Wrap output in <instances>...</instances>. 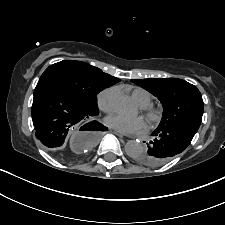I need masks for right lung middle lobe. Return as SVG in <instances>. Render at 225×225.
Returning <instances> with one entry per match:
<instances>
[{"mask_svg": "<svg viewBox=\"0 0 225 225\" xmlns=\"http://www.w3.org/2000/svg\"><path fill=\"white\" fill-rule=\"evenodd\" d=\"M39 81H49L58 85L86 109L95 113H99L97 94L113 85L100 69L72 60L49 66Z\"/></svg>", "mask_w": 225, "mask_h": 225, "instance_id": "obj_1", "label": "right lung middle lobe"}]
</instances>
